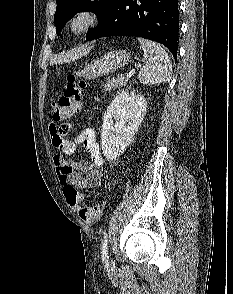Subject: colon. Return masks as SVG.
<instances>
[{
	"label": "colon",
	"mask_w": 233,
	"mask_h": 294,
	"mask_svg": "<svg viewBox=\"0 0 233 294\" xmlns=\"http://www.w3.org/2000/svg\"><path fill=\"white\" fill-rule=\"evenodd\" d=\"M83 81H78L74 74L67 76V85L63 93L53 102L52 117L56 120H68L75 117L81 108ZM67 203L77 211L81 220L94 223L101 215L100 206L83 204V195L72 186L63 189Z\"/></svg>",
	"instance_id": "1"
}]
</instances>
